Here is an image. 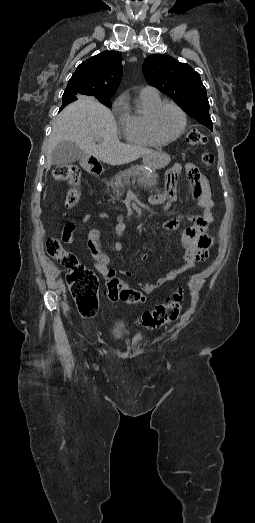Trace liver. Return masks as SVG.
<instances>
[{"instance_id":"6515ba94","label":"liver","mask_w":255,"mask_h":523,"mask_svg":"<svg viewBox=\"0 0 255 523\" xmlns=\"http://www.w3.org/2000/svg\"><path fill=\"white\" fill-rule=\"evenodd\" d=\"M64 140L75 142L85 154H90L110 166H122L138 158H143V162H146L148 156L155 154L154 150L119 142L117 124L112 112L94 98L87 96H81L80 100L64 108L57 116L47 144L46 172L51 168L52 150ZM95 140L99 144H95ZM157 154L159 162L167 166L170 156L164 152Z\"/></svg>"}]
</instances>
